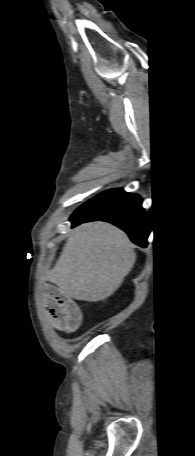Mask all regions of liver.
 <instances>
[{
	"mask_svg": "<svg viewBox=\"0 0 195 456\" xmlns=\"http://www.w3.org/2000/svg\"><path fill=\"white\" fill-rule=\"evenodd\" d=\"M135 261L124 232L109 223H86L68 238L47 280L68 298L97 302L121 286Z\"/></svg>",
	"mask_w": 195,
	"mask_h": 456,
	"instance_id": "obj_1",
	"label": "liver"
}]
</instances>
